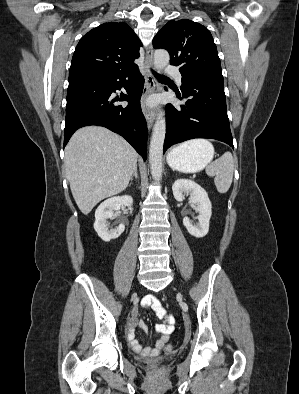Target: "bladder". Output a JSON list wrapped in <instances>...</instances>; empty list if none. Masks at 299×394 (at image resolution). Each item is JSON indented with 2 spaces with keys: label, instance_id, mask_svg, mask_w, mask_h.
I'll use <instances>...</instances> for the list:
<instances>
[{
  "label": "bladder",
  "instance_id": "1",
  "mask_svg": "<svg viewBox=\"0 0 299 394\" xmlns=\"http://www.w3.org/2000/svg\"><path fill=\"white\" fill-rule=\"evenodd\" d=\"M167 360H168V358H167V357H164V358H161V359L156 360V361L144 360L143 363L150 365V364H155V363L164 362V361H167Z\"/></svg>",
  "mask_w": 299,
  "mask_h": 394
}]
</instances>
